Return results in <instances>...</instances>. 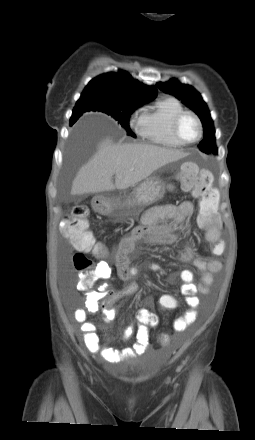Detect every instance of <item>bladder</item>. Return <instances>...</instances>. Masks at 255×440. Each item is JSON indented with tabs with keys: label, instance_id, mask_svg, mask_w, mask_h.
<instances>
[{
	"label": "bladder",
	"instance_id": "1",
	"mask_svg": "<svg viewBox=\"0 0 255 440\" xmlns=\"http://www.w3.org/2000/svg\"><path fill=\"white\" fill-rule=\"evenodd\" d=\"M152 369V366L149 364H128L121 369L120 373L127 377L142 378L148 377Z\"/></svg>",
	"mask_w": 255,
	"mask_h": 440
}]
</instances>
